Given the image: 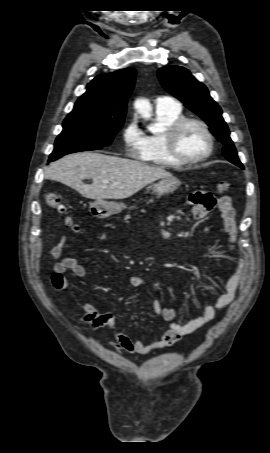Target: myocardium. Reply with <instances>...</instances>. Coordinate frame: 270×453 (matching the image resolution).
Segmentation results:
<instances>
[{"mask_svg": "<svg viewBox=\"0 0 270 453\" xmlns=\"http://www.w3.org/2000/svg\"><path fill=\"white\" fill-rule=\"evenodd\" d=\"M189 124H194L199 126L204 134L207 137L208 140V147L207 151L201 155L200 157L197 158H188L183 156L178 149V138L183 130V128ZM164 143L166 150L168 154L171 156L172 159H174L176 162L180 164H198L206 159H208L214 150V137L208 127V125L198 119V118H188V117H182L175 121L166 131L165 136H164Z\"/></svg>", "mask_w": 270, "mask_h": 453, "instance_id": "f54148a6", "label": "myocardium"}]
</instances>
